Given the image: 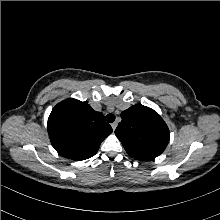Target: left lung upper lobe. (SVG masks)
I'll list each match as a JSON object with an SVG mask.
<instances>
[{"label":"left lung upper lobe","instance_id":"5c2ea615","mask_svg":"<svg viewBox=\"0 0 220 220\" xmlns=\"http://www.w3.org/2000/svg\"><path fill=\"white\" fill-rule=\"evenodd\" d=\"M121 118L115 134L129 156L148 160L159 156L165 150L170 132L156 111L136 104L123 111Z\"/></svg>","mask_w":220,"mask_h":220}]
</instances>
